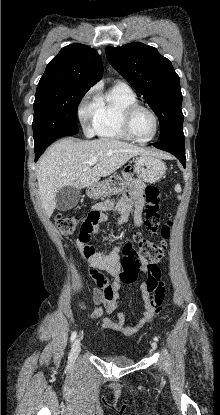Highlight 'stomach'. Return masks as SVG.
I'll return each mask as SVG.
<instances>
[{"label": "stomach", "instance_id": "1", "mask_svg": "<svg viewBox=\"0 0 220 415\" xmlns=\"http://www.w3.org/2000/svg\"><path fill=\"white\" fill-rule=\"evenodd\" d=\"M136 174L145 182L154 183L161 179L165 174V163L152 155H141L136 158L134 165ZM126 188V176L112 175L109 178L97 182L87 189V194L91 198H103L118 195Z\"/></svg>", "mask_w": 220, "mask_h": 415}]
</instances>
